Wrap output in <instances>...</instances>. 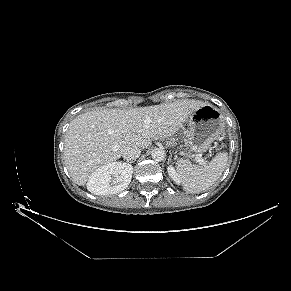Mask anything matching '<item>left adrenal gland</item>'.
Masks as SVG:
<instances>
[{"mask_svg":"<svg viewBox=\"0 0 291 291\" xmlns=\"http://www.w3.org/2000/svg\"><path fill=\"white\" fill-rule=\"evenodd\" d=\"M171 155L169 156V158H168V164L171 162Z\"/></svg>","mask_w":291,"mask_h":291,"instance_id":"obj_1","label":"left adrenal gland"}]
</instances>
